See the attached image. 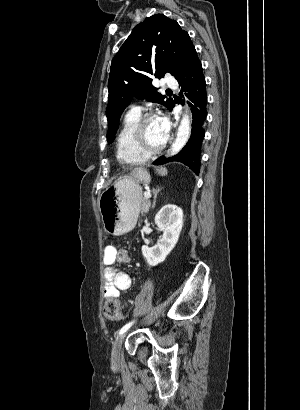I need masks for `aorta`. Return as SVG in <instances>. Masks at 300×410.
I'll return each mask as SVG.
<instances>
[{
  "label": "aorta",
  "instance_id": "aorta-1",
  "mask_svg": "<svg viewBox=\"0 0 300 410\" xmlns=\"http://www.w3.org/2000/svg\"><path fill=\"white\" fill-rule=\"evenodd\" d=\"M190 131V118L186 111L178 127L176 139L168 151V156H173L180 152L190 137Z\"/></svg>",
  "mask_w": 300,
  "mask_h": 410
}]
</instances>
